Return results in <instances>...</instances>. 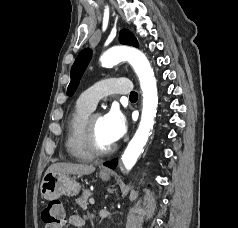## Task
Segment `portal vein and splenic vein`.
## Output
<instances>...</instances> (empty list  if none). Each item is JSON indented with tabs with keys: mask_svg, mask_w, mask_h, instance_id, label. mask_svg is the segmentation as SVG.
I'll return each mask as SVG.
<instances>
[{
	"mask_svg": "<svg viewBox=\"0 0 238 228\" xmlns=\"http://www.w3.org/2000/svg\"><path fill=\"white\" fill-rule=\"evenodd\" d=\"M89 202H90L91 205H94V204H95V201H94L93 198H90V199H89Z\"/></svg>",
	"mask_w": 238,
	"mask_h": 228,
	"instance_id": "obj_1",
	"label": "portal vein and splenic vein"
}]
</instances>
